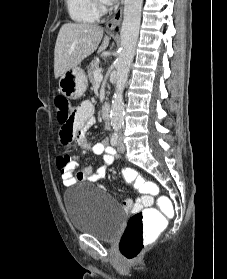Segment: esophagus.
Wrapping results in <instances>:
<instances>
[{
  "label": "esophagus",
  "mask_w": 227,
  "mask_h": 279,
  "mask_svg": "<svg viewBox=\"0 0 227 279\" xmlns=\"http://www.w3.org/2000/svg\"><path fill=\"white\" fill-rule=\"evenodd\" d=\"M123 6H124V0H121L118 8L116 9L114 15L111 17V19L106 24L107 31L111 32L113 31L117 26H119L122 15H123Z\"/></svg>",
  "instance_id": "34e87169"
}]
</instances>
